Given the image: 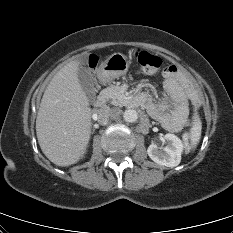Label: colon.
<instances>
[{"instance_id": "1", "label": "colon", "mask_w": 233, "mask_h": 233, "mask_svg": "<svg viewBox=\"0 0 233 233\" xmlns=\"http://www.w3.org/2000/svg\"><path fill=\"white\" fill-rule=\"evenodd\" d=\"M136 56L140 66L148 74H155L162 67L161 58L152 53H149L147 51H141L138 52ZM182 139L187 147H191L190 135L185 134Z\"/></svg>"}]
</instances>
